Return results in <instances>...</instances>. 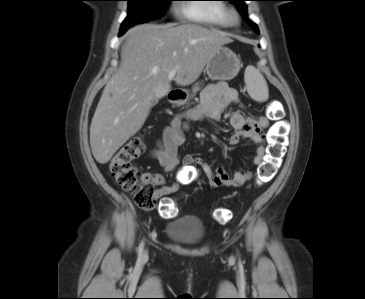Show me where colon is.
<instances>
[{
    "label": "colon",
    "mask_w": 365,
    "mask_h": 299,
    "mask_svg": "<svg viewBox=\"0 0 365 299\" xmlns=\"http://www.w3.org/2000/svg\"><path fill=\"white\" fill-rule=\"evenodd\" d=\"M281 105L275 102L269 109V117L276 122L269 132V144L264 162L260 165L256 183L261 185L270 182L275 176L285 153L287 124L280 119ZM145 149L141 134L135 135L125 142L111 158L108 170L115 182L127 193L131 194L135 203L142 209L151 210L156 205L155 188L151 182L140 178L133 160ZM177 211V205L166 199L160 206L164 217H171ZM213 216L218 223H226L231 219V212L224 208L214 210Z\"/></svg>",
    "instance_id": "1"
}]
</instances>
